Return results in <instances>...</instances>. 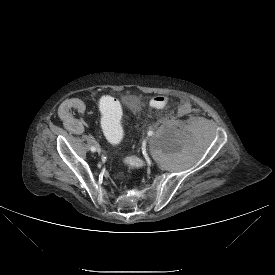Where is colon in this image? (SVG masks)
Segmentation results:
<instances>
[{
  "mask_svg": "<svg viewBox=\"0 0 275 275\" xmlns=\"http://www.w3.org/2000/svg\"><path fill=\"white\" fill-rule=\"evenodd\" d=\"M168 103L165 96H155L150 105L155 109L164 108ZM99 109L102 113V126L109 142L116 144L122 136L121 123L119 119L120 105L113 94H105L99 100Z\"/></svg>",
  "mask_w": 275,
  "mask_h": 275,
  "instance_id": "5ec220e1",
  "label": "colon"
}]
</instances>
